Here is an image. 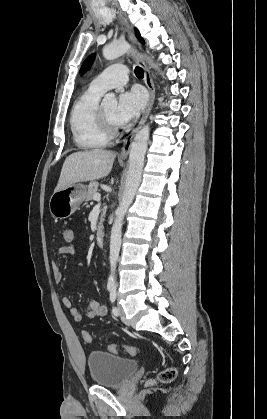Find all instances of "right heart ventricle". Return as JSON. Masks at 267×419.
<instances>
[{"instance_id":"obj_1","label":"right heart ventricle","mask_w":267,"mask_h":419,"mask_svg":"<svg viewBox=\"0 0 267 419\" xmlns=\"http://www.w3.org/2000/svg\"><path fill=\"white\" fill-rule=\"evenodd\" d=\"M103 92L89 87L75 101L70 126L76 145L85 150L104 147L109 137L102 131L98 120L99 101Z\"/></svg>"}]
</instances>
